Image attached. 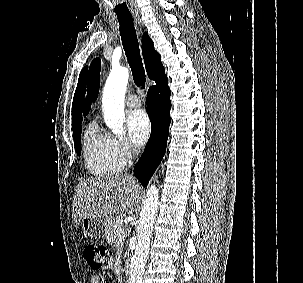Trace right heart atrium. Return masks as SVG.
Returning a JSON list of instances; mask_svg holds the SVG:
<instances>
[{"instance_id":"d8ad5b80","label":"right heart atrium","mask_w":303,"mask_h":283,"mask_svg":"<svg viewBox=\"0 0 303 283\" xmlns=\"http://www.w3.org/2000/svg\"><path fill=\"white\" fill-rule=\"evenodd\" d=\"M110 144L113 152L118 159L125 165L132 159L136 153V149L128 141V139L121 135L108 134Z\"/></svg>"}]
</instances>
